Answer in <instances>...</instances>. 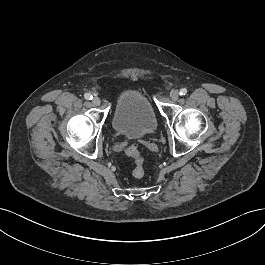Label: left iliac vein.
I'll use <instances>...</instances> for the list:
<instances>
[{
  "label": "left iliac vein",
  "mask_w": 265,
  "mask_h": 265,
  "mask_svg": "<svg viewBox=\"0 0 265 265\" xmlns=\"http://www.w3.org/2000/svg\"><path fill=\"white\" fill-rule=\"evenodd\" d=\"M170 97L172 100L176 101L179 98V91L178 90H173L170 93Z\"/></svg>",
  "instance_id": "4c4485c4"
}]
</instances>
